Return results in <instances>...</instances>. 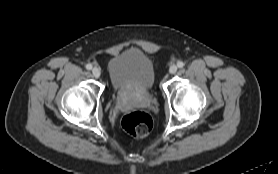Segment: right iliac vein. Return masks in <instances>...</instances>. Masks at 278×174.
<instances>
[{
    "mask_svg": "<svg viewBox=\"0 0 278 174\" xmlns=\"http://www.w3.org/2000/svg\"><path fill=\"white\" fill-rule=\"evenodd\" d=\"M92 74H93V76H94L95 78H99L100 75H101V70H100L99 68H97V67H94V68L92 69Z\"/></svg>",
    "mask_w": 278,
    "mask_h": 174,
    "instance_id": "obj_1",
    "label": "right iliac vein"
}]
</instances>
